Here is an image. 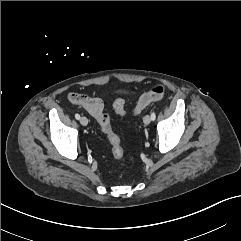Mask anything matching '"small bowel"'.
<instances>
[{
  "mask_svg": "<svg viewBox=\"0 0 241 241\" xmlns=\"http://www.w3.org/2000/svg\"><path fill=\"white\" fill-rule=\"evenodd\" d=\"M68 99L70 103L85 109L94 118H98V116L103 113L104 103L98 97L80 93H70Z\"/></svg>",
  "mask_w": 241,
  "mask_h": 241,
  "instance_id": "small-bowel-1",
  "label": "small bowel"
}]
</instances>
